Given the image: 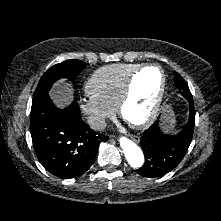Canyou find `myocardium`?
Returning <instances> with one entry per match:
<instances>
[{"label":"myocardium","instance_id":"myocardium-1","mask_svg":"<svg viewBox=\"0 0 221 221\" xmlns=\"http://www.w3.org/2000/svg\"><path fill=\"white\" fill-rule=\"evenodd\" d=\"M148 68H157L158 69V71L161 75V85H160L158 94L155 98L152 109H151L150 113L148 114V116L146 118H144L143 120H141V121L130 122L125 118L124 110H125V107L127 106V104L129 103V101L132 98L134 80L136 79V77L142 71H144L145 69H148ZM166 85H167L166 74H165L163 68L159 64H157V63H148V64H143V65L139 66L136 70H134L132 72V74L127 79V82L125 84L123 93L121 95V98H120V100H119V102L116 106V109H117V112H118L119 116L123 120L128 122L133 128L142 129V128H145V127L149 126L150 124H152L155 121V119L157 118V116L160 112L162 102H163V99H164Z\"/></svg>","mask_w":221,"mask_h":221}]
</instances>
